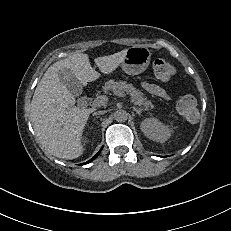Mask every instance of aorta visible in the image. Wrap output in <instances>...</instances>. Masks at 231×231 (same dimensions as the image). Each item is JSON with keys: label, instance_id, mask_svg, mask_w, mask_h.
Here are the masks:
<instances>
[{"label": "aorta", "instance_id": "obj_1", "mask_svg": "<svg viewBox=\"0 0 231 231\" xmlns=\"http://www.w3.org/2000/svg\"><path fill=\"white\" fill-rule=\"evenodd\" d=\"M114 118L117 122H125L128 119V113L125 110H117L114 113Z\"/></svg>", "mask_w": 231, "mask_h": 231}]
</instances>
